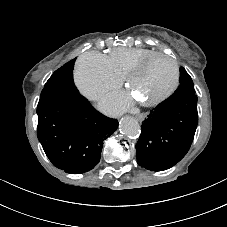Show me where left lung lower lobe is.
Listing matches in <instances>:
<instances>
[{
  "label": "left lung lower lobe",
  "instance_id": "left-lung-lower-lobe-1",
  "mask_svg": "<svg viewBox=\"0 0 227 227\" xmlns=\"http://www.w3.org/2000/svg\"><path fill=\"white\" fill-rule=\"evenodd\" d=\"M197 124L195 93L173 94L158 104L142 123L136 144L138 164L151 171L177 164L188 152Z\"/></svg>",
  "mask_w": 227,
  "mask_h": 227
}]
</instances>
